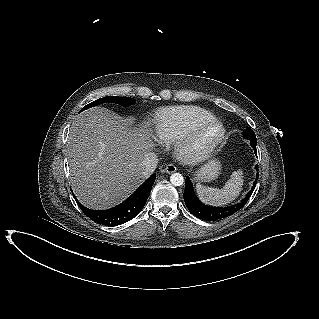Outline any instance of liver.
Wrapping results in <instances>:
<instances>
[{"instance_id":"obj_1","label":"liver","mask_w":319,"mask_h":319,"mask_svg":"<svg viewBox=\"0 0 319 319\" xmlns=\"http://www.w3.org/2000/svg\"><path fill=\"white\" fill-rule=\"evenodd\" d=\"M154 147L146 129L94 107L72 122L66 145L70 183L78 200L88 208L113 207L134 192L150 174L141 163Z\"/></svg>"}]
</instances>
